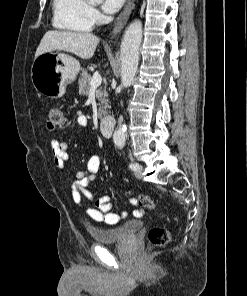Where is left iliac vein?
Wrapping results in <instances>:
<instances>
[{"label":"left iliac vein","instance_id":"4c4485c4","mask_svg":"<svg viewBox=\"0 0 247 296\" xmlns=\"http://www.w3.org/2000/svg\"><path fill=\"white\" fill-rule=\"evenodd\" d=\"M134 174L136 178L140 179L142 177V167L139 166V168L135 170Z\"/></svg>","mask_w":247,"mask_h":296}]
</instances>
